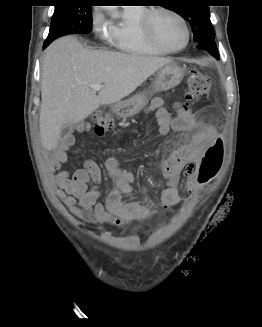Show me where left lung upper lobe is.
Wrapping results in <instances>:
<instances>
[{
    "label": "left lung upper lobe",
    "instance_id": "left-lung-upper-lobe-1",
    "mask_svg": "<svg viewBox=\"0 0 262 327\" xmlns=\"http://www.w3.org/2000/svg\"><path fill=\"white\" fill-rule=\"evenodd\" d=\"M182 0H169L168 8L181 15L191 25L196 43L214 37L215 33L210 21V10L208 5L201 4V0H193L194 5H183Z\"/></svg>",
    "mask_w": 262,
    "mask_h": 327
}]
</instances>
